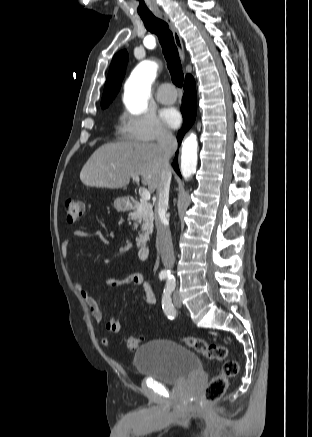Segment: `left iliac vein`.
Here are the masks:
<instances>
[{
    "mask_svg": "<svg viewBox=\"0 0 312 437\" xmlns=\"http://www.w3.org/2000/svg\"><path fill=\"white\" fill-rule=\"evenodd\" d=\"M173 303L176 307H181L178 291H174L173 293Z\"/></svg>",
    "mask_w": 312,
    "mask_h": 437,
    "instance_id": "1",
    "label": "left iliac vein"
}]
</instances>
